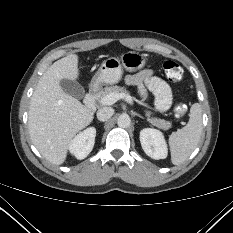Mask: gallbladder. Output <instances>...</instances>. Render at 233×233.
<instances>
[{
  "instance_id": "1",
  "label": "gallbladder",
  "mask_w": 233,
  "mask_h": 233,
  "mask_svg": "<svg viewBox=\"0 0 233 233\" xmlns=\"http://www.w3.org/2000/svg\"><path fill=\"white\" fill-rule=\"evenodd\" d=\"M63 91L74 98L82 99L85 95L84 88L75 81L64 79L60 82Z\"/></svg>"
}]
</instances>
